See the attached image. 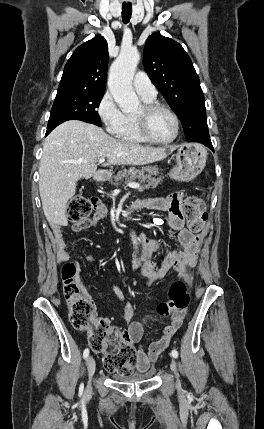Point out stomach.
Returning a JSON list of instances; mask_svg holds the SVG:
<instances>
[{"instance_id":"stomach-1","label":"stomach","mask_w":264,"mask_h":429,"mask_svg":"<svg viewBox=\"0 0 264 429\" xmlns=\"http://www.w3.org/2000/svg\"><path fill=\"white\" fill-rule=\"evenodd\" d=\"M206 159L207 151L202 145L181 144L176 153V166L169 173V176L177 181L189 182L202 172ZM141 171L148 173L149 176L158 174L156 166H145ZM110 176L111 173L108 171H100L97 174L98 180H107Z\"/></svg>"}]
</instances>
